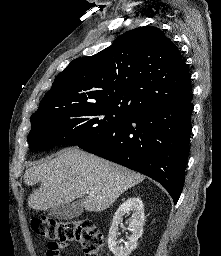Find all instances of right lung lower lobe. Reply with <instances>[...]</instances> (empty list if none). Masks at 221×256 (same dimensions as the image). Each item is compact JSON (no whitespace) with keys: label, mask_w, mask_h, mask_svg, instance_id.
I'll return each mask as SVG.
<instances>
[{"label":"right lung lower lobe","mask_w":221,"mask_h":256,"mask_svg":"<svg viewBox=\"0 0 221 256\" xmlns=\"http://www.w3.org/2000/svg\"><path fill=\"white\" fill-rule=\"evenodd\" d=\"M191 100L192 96L141 110L78 146L158 181L176 203L189 154Z\"/></svg>","instance_id":"98d812e1"}]
</instances>
